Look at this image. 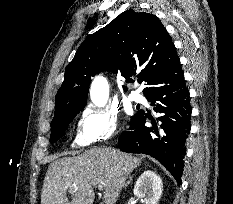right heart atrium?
I'll use <instances>...</instances> for the list:
<instances>
[{
    "instance_id": "d8ad5b80",
    "label": "right heart atrium",
    "mask_w": 233,
    "mask_h": 204,
    "mask_svg": "<svg viewBox=\"0 0 233 204\" xmlns=\"http://www.w3.org/2000/svg\"><path fill=\"white\" fill-rule=\"evenodd\" d=\"M118 131V114L108 107L87 106L83 109L75 142L87 147L113 138Z\"/></svg>"
}]
</instances>
